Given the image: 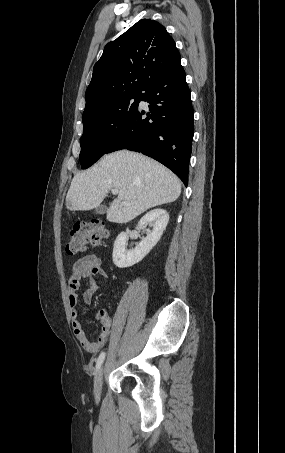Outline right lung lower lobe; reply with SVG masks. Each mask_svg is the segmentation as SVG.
Returning <instances> with one entry per match:
<instances>
[{
	"label": "right lung lower lobe",
	"mask_w": 285,
	"mask_h": 453,
	"mask_svg": "<svg viewBox=\"0 0 285 453\" xmlns=\"http://www.w3.org/2000/svg\"><path fill=\"white\" fill-rule=\"evenodd\" d=\"M151 114L138 108L107 153L141 152L172 170L187 186L194 111L181 63L150 80L141 93Z\"/></svg>",
	"instance_id": "obj_1"
}]
</instances>
